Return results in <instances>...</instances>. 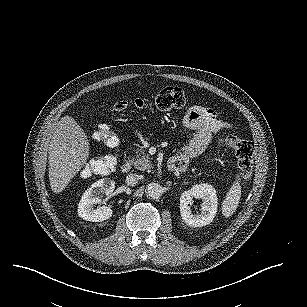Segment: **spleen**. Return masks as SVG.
<instances>
[{
	"instance_id": "1",
	"label": "spleen",
	"mask_w": 307,
	"mask_h": 307,
	"mask_svg": "<svg viewBox=\"0 0 307 307\" xmlns=\"http://www.w3.org/2000/svg\"><path fill=\"white\" fill-rule=\"evenodd\" d=\"M241 198V185H240V177L237 176L233 185L226 193V197L222 202V214L226 218L232 216L238 205Z\"/></svg>"
}]
</instances>
